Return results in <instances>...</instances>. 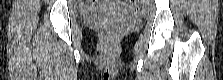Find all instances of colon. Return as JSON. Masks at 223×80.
Wrapping results in <instances>:
<instances>
[{"mask_svg": "<svg viewBox=\"0 0 223 80\" xmlns=\"http://www.w3.org/2000/svg\"><path fill=\"white\" fill-rule=\"evenodd\" d=\"M146 1L145 0H128L127 4L134 8V9H140L145 5ZM106 39L108 41H111L113 38V33L111 31H106L105 33Z\"/></svg>", "mask_w": 223, "mask_h": 80, "instance_id": "5ec220e1", "label": "colon"}]
</instances>
